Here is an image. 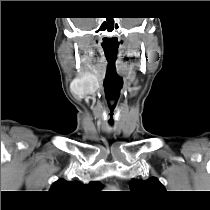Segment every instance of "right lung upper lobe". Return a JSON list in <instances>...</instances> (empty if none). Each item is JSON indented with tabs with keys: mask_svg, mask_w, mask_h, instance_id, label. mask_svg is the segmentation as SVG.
<instances>
[{
	"mask_svg": "<svg viewBox=\"0 0 210 210\" xmlns=\"http://www.w3.org/2000/svg\"><path fill=\"white\" fill-rule=\"evenodd\" d=\"M83 186L84 185L78 181L68 182L64 179H59L52 184L50 191L55 193H67L80 189ZM85 187L101 189L102 184L100 182H90L88 185H85Z\"/></svg>",
	"mask_w": 210,
	"mask_h": 210,
	"instance_id": "obj_1",
	"label": "right lung upper lobe"
}]
</instances>
